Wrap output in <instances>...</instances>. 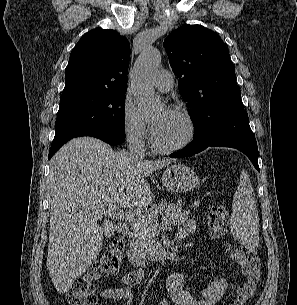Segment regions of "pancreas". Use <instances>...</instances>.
<instances>
[{
  "label": "pancreas",
  "instance_id": "pancreas-1",
  "mask_svg": "<svg viewBox=\"0 0 297 305\" xmlns=\"http://www.w3.org/2000/svg\"><path fill=\"white\" fill-rule=\"evenodd\" d=\"M161 214L168 220L169 224L180 225L185 222L190 210H182L181 202L176 205L169 204L166 208L162 204L153 205L143 217L133 221L131 244L134 250L145 259H155V236L158 234V215Z\"/></svg>",
  "mask_w": 297,
  "mask_h": 305
}]
</instances>
